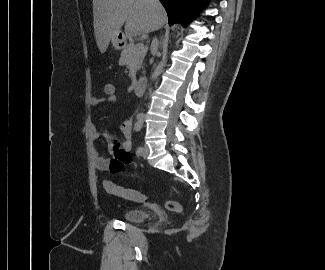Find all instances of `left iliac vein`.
Instances as JSON below:
<instances>
[{"label":"left iliac vein","mask_w":325,"mask_h":270,"mask_svg":"<svg viewBox=\"0 0 325 270\" xmlns=\"http://www.w3.org/2000/svg\"><path fill=\"white\" fill-rule=\"evenodd\" d=\"M148 154H149V147L147 145H144L143 151L140 155L143 156L144 158H146L148 156Z\"/></svg>","instance_id":"1"}]
</instances>
